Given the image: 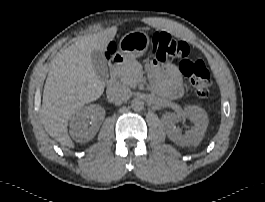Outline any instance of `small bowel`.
Listing matches in <instances>:
<instances>
[{"label": "small bowel", "instance_id": "c3829d8e", "mask_svg": "<svg viewBox=\"0 0 265 202\" xmlns=\"http://www.w3.org/2000/svg\"><path fill=\"white\" fill-rule=\"evenodd\" d=\"M146 70L154 83L163 81L174 90L173 95L179 94L182 74L178 66L175 64H159L156 61H151L146 64Z\"/></svg>", "mask_w": 265, "mask_h": 202}]
</instances>
